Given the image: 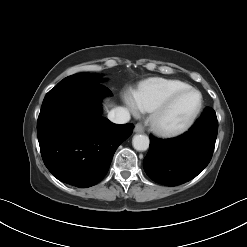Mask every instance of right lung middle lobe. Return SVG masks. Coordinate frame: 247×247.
<instances>
[{
    "instance_id": "1",
    "label": "right lung middle lobe",
    "mask_w": 247,
    "mask_h": 247,
    "mask_svg": "<svg viewBox=\"0 0 247 247\" xmlns=\"http://www.w3.org/2000/svg\"><path fill=\"white\" fill-rule=\"evenodd\" d=\"M105 79L100 78L97 74L79 73L75 75L68 76L60 81L57 85L69 84L73 82H96L101 83Z\"/></svg>"
}]
</instances>
